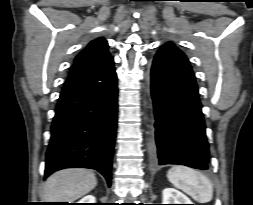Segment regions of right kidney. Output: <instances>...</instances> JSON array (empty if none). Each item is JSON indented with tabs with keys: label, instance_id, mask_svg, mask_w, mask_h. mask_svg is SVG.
Masks as SVG:
<instances>
[{
	"label": "right kidney",
	"instance_id": "right-kidney-1",
	"mask_svg": "<svg viewBox=\"0 0 253 205\" xmlns=\"http://www.w3.org/2000/svg\"><path fill=\"white\" fill-rule=\"evenodd\" d=\"M77 203H96V198L93 195H87Z\"/></svg>",
	"mask_w": 253,
	"mask_h": 205
}]
</instances>
